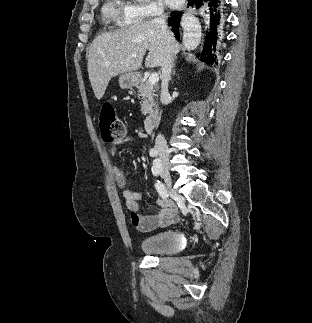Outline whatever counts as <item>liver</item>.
<instances>
[{"label": "liver", "mask_w": 312, "mask_h": 323, "mask_svg": "<svg viewBox=\"0 0 312 323\" xmlns=\"http://www.w3.org/2000/svg\"><path fill=\"white\" fill-rule=\"evenodd\" d=\"M147 50L146 68L161 66L167 44L154 22H137L123 30L97 36L88 54V76L97 100L103 98L111 78L139 70ZM179 52L180 44L175 40L172 54L177 56ZM132 54H137L136 58Z\"/></svg>", "instance_id": "liver-1"}]
</instances>
